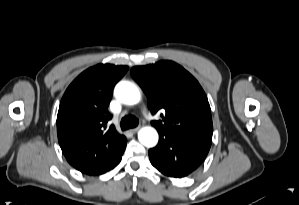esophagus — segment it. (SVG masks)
Masks as SVG:
<instances>
[{
  "instance_id": "obj_1",
  "label": "esophagus",
  "mask_w": 299,
  "mask_h": 205,
  "mask_svg": "<svg viewBox=\"0 0 299 205\" xmlns=\"http://www.w3.org/2000/svg\"><path fill=\"white\" fill-rule=\"evenodd\" d=\"M140 128H141V126H138V127H136V128H133V129H131V132H132V133H136V132L139 131Z\"/></svg>"
}]
</instances>
